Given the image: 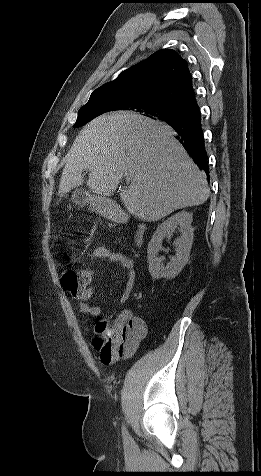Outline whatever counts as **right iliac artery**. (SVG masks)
<instances>
[{
    "label": "right iliac artery",
    "mask_w": 261,
    "mask_h": 476,
    "mask_svg": "<svg viewBox=\"0 0 261 476\" xmlns=\"http://www.w3.org/2000/svg\"><path fill=\"white\" fill-rule=\"evenodd\" d=\"M122 434H123V438H124L125 440H128V439H129L128 432H127V430H126V428H125L124 426L122 427Z\"/></svg>",
    "instance_id": "obj_1"
}]
</instances>
